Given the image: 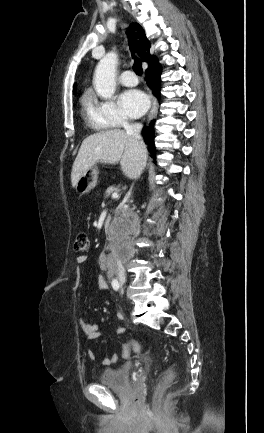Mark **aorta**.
Listing matches in <instances>:
<instances>
[{"instance_id": "762f6f07", "label": "aorta", "mask_w": 264, "mask_h": 433, "mask_svg": "<svg viewBox=\"0 0 264 433\" xmlns=\"http://www.w3.org/2000/svg\"><path fill=\"white\" fill-rule=\"evenodd\" d=\"M118 57L115 53H107L98 63L93 84L96 92L103 98L109 99L115 92V71Z\"/></svg>"}]
</instances>
